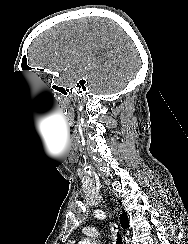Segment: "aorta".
Here are the masks:
<instances>
[{"instance_id":"aorta-1","label":"aorta","mask_w":188,"mask_h":244,"mask_svg":"<svg viewBox=\"0 0 188 244\" xmlns=\"http://www.w3.org/2000/svg\"><path fill=\"white\" fill-rule=\"evenodd\" d=\"M79 244H91V242H90V240L85 239V240L79 242Z\"/></svg>"}]
</instances>
